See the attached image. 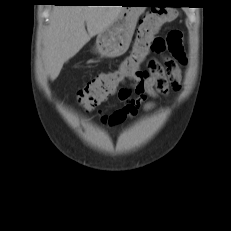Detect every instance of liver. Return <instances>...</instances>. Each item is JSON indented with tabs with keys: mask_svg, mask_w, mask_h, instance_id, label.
I'll list each match as a JSON object with an SVG mask.
<instances>
[{
	"mask_svg": "<svg viewBox=\"0 0 231 231\" xmlns=\"http://www.w3.org/2000/svg\"><path fill=\"white\" fill-rule=\"evenodd\" d=\"M122 6H56L44 36L43 61L55 80L63 64L75 56L89 40L117 19ZM87 25V31L85 29Z\"/></svg>",
	"mask_w": 231,
	"mask_h": 231,
	"instance_id": "obj_1",
	"label": "liver"
}]
</instances>
